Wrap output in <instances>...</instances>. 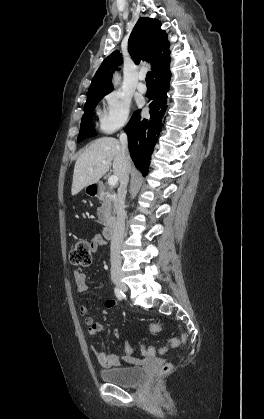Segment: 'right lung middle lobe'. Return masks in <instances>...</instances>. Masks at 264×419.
<instances>
[{
	"mask_svg": "<svg viewBox=\"0 0 264 419\" xmlns=\"http://www.w3.org/2000/svg\"><path fill=\"white\" fill-rule=\"evenodd\" d=\"M106 94L96 95L87 99L84 108V114L81 121L80 132L78 135L77 142L82 141L87 137H93L96 135L95 128L92 122L93 112L97 103L105 96Z\"/></svg>",
	"mask_w": 264,
	"mask_h": 419,
	"instance_id": "right-lung-middle-lobe-1",
	"label": "right lung middle lobe"
}]
</instances>
